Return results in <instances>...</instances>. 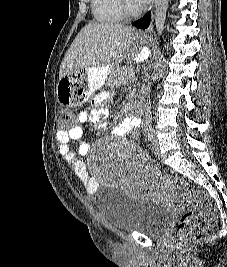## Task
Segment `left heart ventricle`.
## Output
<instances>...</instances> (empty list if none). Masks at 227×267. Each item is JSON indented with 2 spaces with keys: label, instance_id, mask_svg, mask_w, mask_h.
Wrapping results in <instances>:
<instances>
[{
  "label": "left heart ventricle",
  "instance_id": "obj_1",
  "mask_svg": "<svg viewBox=\"0 0 227 267\" xmlns=\"http://www.w3.org/2000/svg\"><path fill=\"white\" fill-rule=\"evenodd\" d=\"M128 2H129V4L131 5V6H133V7H137L135 4H134V2L132 1V0H127Z\"/></svg>",
  "mask_w": 227,
  "mask_h": 267
}]
</instances>
